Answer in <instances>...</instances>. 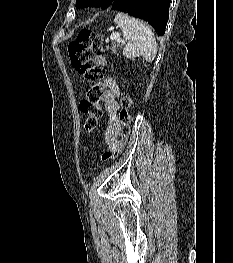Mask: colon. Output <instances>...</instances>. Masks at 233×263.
<instances>
[{
  "label": "colon",
  "instance_id": "1",
  "mask_svg": "<svg viewBox=\"0 0 233 263\" xmlns=\"http://www.w3.org/2000/svg\"><path fill=\"white\" fill-rule=\"evenodd\" d=\"M104 52L102 36L90 29H82L77 36L68 44V54L70 64L73 69L83 75L90 83L86 97L80 102V111L84 116V127L87 131H92L98 125L102 117V107L100 103L103 88L100 80L102 70L91 60V54H101ZM131 98L123 95L120 99V112L118 119L121 123L122 141L115 152L105 153L103 160L108 161L118 155L129 136L131 122Z\"/></svg>",
  "mask_w": 233,
  "mask_h": 263
}]
</instances>
